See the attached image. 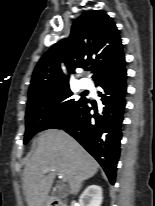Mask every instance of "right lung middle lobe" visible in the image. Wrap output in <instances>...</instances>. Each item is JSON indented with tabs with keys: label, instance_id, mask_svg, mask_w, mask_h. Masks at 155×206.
<instances>
[{
	"label": "right lung middle lobe",
	"instance_id": "1",
	"mask_svg": "<svg viewBox=\"0 0 155 206\" xmlns=\"http://www.w3.org/2000/svg\"><path fill=\"white\" fill-rule=\"evenodd\" d=\"M69 85H61L28 96L24 144L36 133L53 128L66 118L84 99H70Z\"/></svg>",
	"mask_w": 155,
	"mask_h": 206
}]
</instances>
